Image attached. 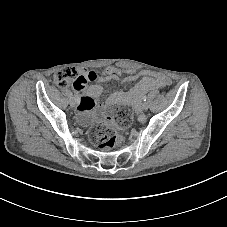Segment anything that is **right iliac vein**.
I'll use <instances>...</instances> for the list:
<instances>
[{
	"label": "right iliac vein",
	"mask_w": 227,
	"mask_h": 227,
	"mask_svg": "<svg viewBox=\"0 0 227 227\" xmlns=\"http://www.w3.org/2000/svg\"><path fill=\"white\" fill-rule=\"evenodd\" d=\"M70 104H71L72 107H75L78 103L75 100L72 99Z\"/></svg>",
	"instance_id": "right-iliac-vein-1"
}]
</instances>
